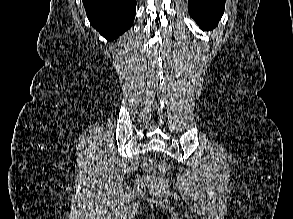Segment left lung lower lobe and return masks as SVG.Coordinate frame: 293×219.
Returning <instances> with one entry per match:
<instances>
[{
	"label": "left lung lower lobe",
	"mask_w": 293,
	"mask_h": 219,
	"mask_svg": "<svg viewBox=\"0 0 293 219\" xmlns=\"http://www.w3.org/2000/svg\"><path fill=\"white\" fill-rule=\"evenodd\" d=\"M226 0H188L191 17L202 30H211L218 25L224 13Z\"/></svg>",
	"instance_id": "obj_1"
}]
</instances>
